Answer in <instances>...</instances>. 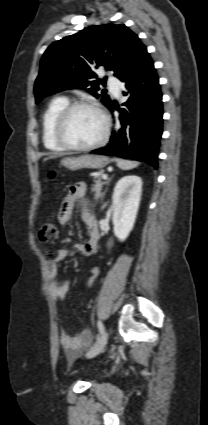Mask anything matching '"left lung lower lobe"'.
I'll return each mask as SVG.
<instances>
[{"label":"left lung lower lobe","mask_w":208,"mask_h":425,"mask_svg":"<svg viewBox=\"0 0 208 425\" xmlns=\"http://www.w3.org/2000/svg\"><path fill=\"white\" fill-rule=\"evenodd\" d=\"M128 100L125 108L114 103L108 107L120 113V123L113 130L108 145L92 153L129 158L158 167L157 156L162 135V93L154 62L146 52L138 66L121 80Z\"/></svg>","instance_id":"obj_1"}]
</instances>
